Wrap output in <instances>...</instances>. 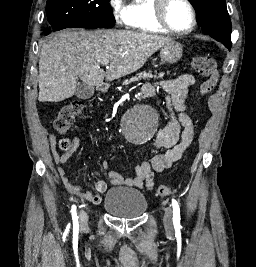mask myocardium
<instances>
[{
	"instance_id": "f54148a6",
	"label": "myocardium",
	"mask_w": 256,
	"mask_h": 267,
	"mask_svg": "<svg viewBox=\"0 0 256 267\" xmlns=\"http://www.w3.org/2000/svg\"><path fill=\"white\" fill-rule=\"evenodd\" d=\"M170 1L171 0H157V8H156V11L154 14L156 24L161 29H163L166 32L173 34V35L186 36V35L191 34L195 30L196 25H197V16H196L195 9L193 8V6L191 5V3L188 0H177V1L184 3L189 8V10L191 12V16H192L191 27L186 31H177L169 25V23L166 19V15H165L167 4Z\"/></svg>"
}]
</instances>
